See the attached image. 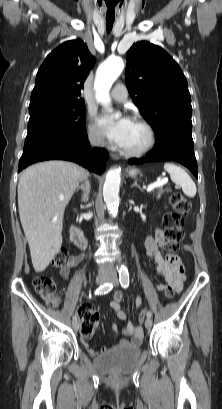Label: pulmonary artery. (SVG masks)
Wrapping results in <instances>:
<instances>
[{
	"instance_id": "obj_1",
	"label": "pulmonary artery",
	"mask_w": 222,
	"mask_h": 409,
	"mask_svg": "<svg viewBox=\"0 0 222 409\" xmlns=\"http://www.w3.org/2000/svg\"><path fill=\"white\" fill-rule=\"evenodd\" d=\"M111 97L117 102H125L128 97L127 89L124 84H117L111 92Z\"/></svg>"
}]
</instances>
